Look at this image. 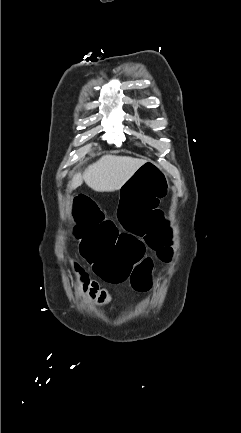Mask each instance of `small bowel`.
<instances>
[{
  "label": "small bowel",
  "mask_w": 241,
  "mask_h": 433,
  "mask_svg": "<svg viewBox=\"0 0 241 433\" xmlns=\"http://www.w3.org/2000/svg\"><path fill=\"white\" fill-rule=\"evenodd\" d=\"M163 227L167 228V234H169V226ZM87 281L89 283V286L84 291L87 292L88 297L91 301L95 302L99 306H109L113 302L114 295L112 292H110L106 288L100 287L99 283L96 280H89L87 278Z\"/></svg>",
  "instance_id": "obj_1"
}]
</instances>
